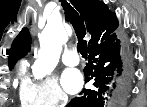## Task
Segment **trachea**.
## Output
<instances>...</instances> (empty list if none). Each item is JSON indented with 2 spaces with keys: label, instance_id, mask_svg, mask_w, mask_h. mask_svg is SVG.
<instances>
[{
  "label": "trachea",
  "instance_id": "3493384b",
  "mask_svg": "<svg viewBox=\"0 0 147 107\" xmlns=\"http://www.w3.org/2000/svg\"><path fill=\"white\" fill-rule=\"evenodd\" d=\"M61 5L63 10L65 11L66 18L72 24L76 36L78 38L77 50L81 53L83 57L87 56V42L84 39L86 35V28L84 25V21L79 17L77 11L65 0H61Z\"/></svg>",
  "mask_w": 147,
  "mask_h": 107
}]
</instances>
